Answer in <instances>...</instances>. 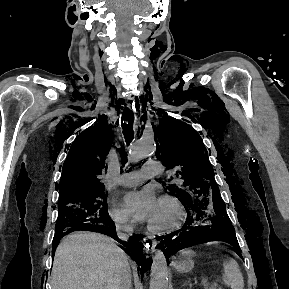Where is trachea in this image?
Instances as JSON below:
<instances>
[{"label": "trachea", "instance_id": "3493384b", "mask_svg": "<svg viewBox=\"0 0 289 289\" xmlns=\"http://www.w3.org/2000/svg\"><path fill=\"white\" fill-rule=\"evenodd\" d=\"M134 113L130 109H125L122 117V129L127 144H130L134 138L133 131Z\"/></svg>", "mask_w": 289, "mask_h": 289}]
</instances>
